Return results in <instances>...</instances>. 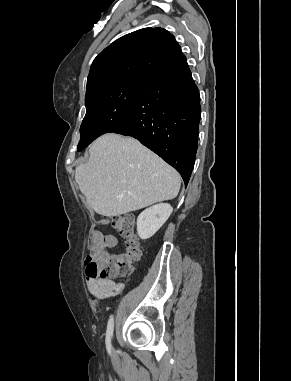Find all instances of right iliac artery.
Masks as SVG:
<instances>
[{
  "mask_svg": "<svg viewBox=\"0 0 291 381\" xmlns=\"http://www.w3.org/2000/svg\"><path fill=\"white\" fill-rule=\"evenodd\" d=\"M113 329H114V318L111 317L108 321L107 332H106V344L108 348H110V339L113 336Z\"/></svg>",
  "mask_w": 291,
  "mask_h": 381,
  "instance_id": "82829eb1",
  "label": "right iliac artery"
}]
</instances>
